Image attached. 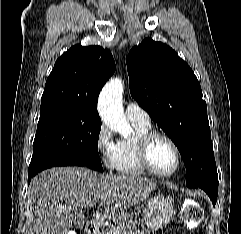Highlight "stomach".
<instances>
[{"label":"stomach","mask_w":241,"mask_h":234,"mask_svg":"<svg viewBox=\"0 0 241 234\" xmlns=\"http://www.w3.org/2000/svg\"><path fill=\"white\" fill-rule=\"evenodd\" d=\"M143 214L149 231H154L165 227L170 222L174 214V206L167 198L158 195L146 202ZM126 217V215L122 214L117 219V222L124 230L131 228V224Z\"/></svg>","instance_id":"stomach-1"}]
</instances>
